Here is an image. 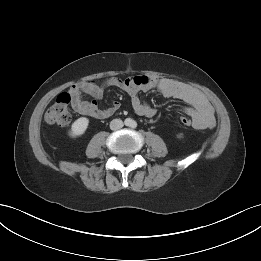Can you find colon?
<instances>
[{"label": "colon", "instance_id": "1", "mask_svg": "<svg viewBox=\"0 0 261 261\" xmlns=\"http://www.w3.org/2000/svg\"><path fill=\"white\" fill-rule=\"evenodd\" d=\"M70 100V95L67 93L58 95L54 104L50 106L45 114L46 121L58 126L68 125L71 120ZM181 122L185 126L192 125V120L189 117H182Z\"/></svg>", "mask_w": 261, "mask_h": 261}]
</instances>
